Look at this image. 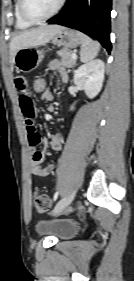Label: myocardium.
Returning a JSON list of instances; mask_svg holds the SVG:
<instances>
[{"instance_id": "f54148a6", "label": "myocardium", "mask_w": 134, "mask_h": 281, "mask_svg": "<svg viewBox=\"0 0 134 281\" xmlns=\"http://www.w3.org/2000/svg\"><path fill=\"white\" fill-rule=\"evenodd\" d=\"M18 1H19V11H20L22 18L32 24L45 22V21L53 18L61 11V9L64 7L65 2H66V0H60L58 5L56 6V8L51 13H49L48 15L42 16V17H36V16H33L32 14H30L29 11L27 10L26 0H18Z\"/></svg>"}]
</instances>
